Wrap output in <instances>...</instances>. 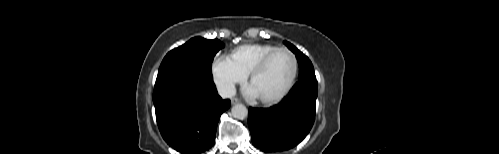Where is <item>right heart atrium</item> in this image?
I'll return each mask as SVG.
<instances>
[{
	"instance_id": "d8ad5b80",
	"label": "right heart atrium",
	"mask_w": 499,
	"mask_h": 154,
	"mask_svg": "<svg viewBox=\"0 0 499 154\" xmlns=\"http://www.w3.org/2000/svg\"><path fill=\"white\" fill-rule=\"evenodd\" d=\"M211 74L214 85L223 96L234 93L235 86L243 83L244 74L227 56L216 57L211 64Z\"/></svg>"
}]
</instances>
